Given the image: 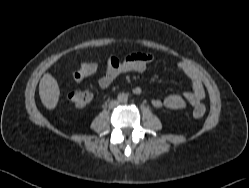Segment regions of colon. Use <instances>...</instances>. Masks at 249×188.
Masks as SVG:
<instances>
[{"mask_svg": "<svg viewBox=\"0 0 249 188\" xmlns=\"http://www.w3.org/2000/svg\"><path fill=\"white\" fill-rule=\"evenodd\" d=\"M95 69L96 67L93 63L85 62L74 71L73 77L76 81H79L82 78L91 75ZM91 98V93L84 90H73L68 96L70 104L75 107H84L88 105L91 101ZM205 111L206 108L204 105H197L193 110V117L201 118L205 114Z\"/></svg>", "mask_w": 249, "mask_h": 188, "instance_id": "5ec220e1", "label": "colon"}]
</instances>
